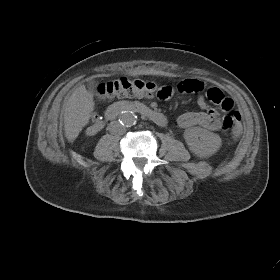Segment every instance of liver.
<instances>
[{"mask_svg": "<svg viewBox=\"0 0 280 280\" xmlns=\"http://www.w3.org/2000/svg\"><path fill=\"white\" fill-rule=\"evenodd\" d=\"M93 94L84 85L77 87L65 103L64 129L68 141L78 137L94 110Z\"/></svg>", "mask_w": 280, "mask_h": 280, "instance_id": "1", "label": "liver"}]
</instances>
